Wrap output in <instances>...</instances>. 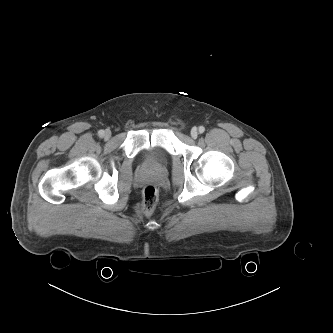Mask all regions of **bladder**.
I'll list each match as a JSON object with an SVG mask.
<instances>
[{
	"label": "bladder",
	"instance_id": "obj_1",
	"mask_svg": "<svg viewBox=\"0 0 333 333\" xmlns=\"http://www.w3.org/2000/svg\"><path fill=\"white\" fill-rule=\"evenodd\" d=\"M167 160L168 153L162 148H152L144 157V163L149 167L159 166L166 163Z\"/></svg>",
	"mask_w": 333,
	"mask_h": 333
}]
</instances>
